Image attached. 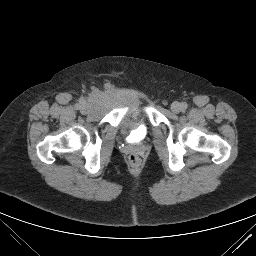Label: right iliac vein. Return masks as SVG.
Here are the masks:
<instances>
[{"instance_id": "1", "label": "right iliac vein", "mask_w": 256, "mask_h": 256, "mask_svg": "<svg viewBox=\"0 0 256 256\" xmlns=\"http://www.w3.org/2000/svg\"><path fill=\"white\" fill-rule=\"evenodd\" d=\"M90 110V106L88 103L83 102L81 105V112L82 113H87Z\"/></svg>"}]
</instances>
